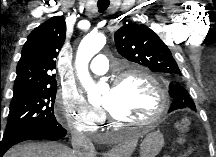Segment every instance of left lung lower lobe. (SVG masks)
<instances>
[{
	"label": "left lung lower lobe",
	"instance_id": "left-lung-lower-lobe-1",
	"mask_svg": "<svg viewBox=\"0 0 216 157\" xmlns=\"http://www.w3.org/2000/svg\"><path fill=\"white\" fill-rule=\"evenodd\" d=\"M185 105L181 104V103H178V102H174L171 104V107H170V112L171 111H174V110H177V109H182V108H185L184 107Z\"/></svg>",
	"mask_w": 216,
	"mask_h": 157
}]
</instances>
